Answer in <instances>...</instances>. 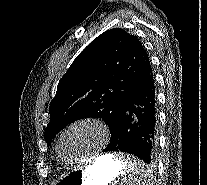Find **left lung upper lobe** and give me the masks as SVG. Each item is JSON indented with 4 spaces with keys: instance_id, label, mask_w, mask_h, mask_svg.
I'll list each match as a JSON object with an SVG mask.
<instances>
[{
    "instance_id": "1",
    "label": "left lung upper lobe",
    "mask_w": 207,
    "mask_h": 185,
    "mask_svg": "<svg viewBox=\"0 0 207 185\" xmlns=\"http://www.w3.org/2000/svg\"><path fill=\"white\" fill-rule=\"evenodd\" d=\"M141 42L121 28L105 31L73 61L50 103L47 146L71 122L99 117L112 132L118 112L133 89L151 73Z\"/></svg>"
}]
</instances>
